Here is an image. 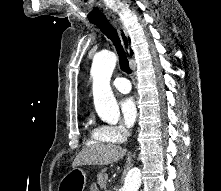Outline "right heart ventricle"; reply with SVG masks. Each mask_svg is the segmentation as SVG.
<instances>
[{"mask_svg":"<svg viewBox=\"0 0 221 191\" xmlns=\"http://www.w3.org/2000/svg\"><path fill=\"white\" fill-rule=\"evenodd\" d=\"M96 132H97V129H92V131H91V136H92V138H93L94 140H96V141H98V142H108V141H106V140H104V139L98 138V137L96 136Z\"/></svg>","mask_w":221,"mask_h":191,"instance_id":"right-heart-ventricle-1","label":"right heart ventricle"}]
</instances>
